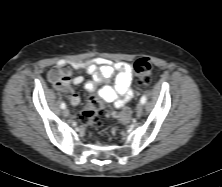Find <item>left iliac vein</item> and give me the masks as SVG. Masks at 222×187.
I'll use <instances>...</instances> for the list:
<instances>
[{
  "mask_svg": "<svg viewBox=\"0 0 222 187\" xmlns=\"http://www.w3.org/2000/svg\"><path fill=\"white\" fill-rule=\"evenodd\" d=\"M143 111V104L142 103H138L137 107H136V113L139 115L141 114Z\"/></svg>",
  "mask_w": 222,
  "mask_h": 187,
  "instance_id": "4c4485c4",
  "label": "left iliac vein"
}]
</instances>
